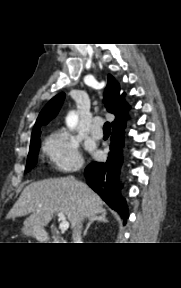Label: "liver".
I'll return each mask as SVG.
<instances>
[{"label": "liver", "mask_w": 181, "mask_h": 288, "mask_svg": "<svg viewBox=\"0 0 181 288\" xmlns=\"http://www.w3.org/2000/svg\"><path fill=\"white\" fill-rule=\"evenodd\" d=\"M104 211L102 199L85 183L72 177L45 179L26 186L7 219L26 216L25 227L43 231L55 213H64L73 231L86 218Z\"/></svg>", "instance_id": "1"}]
</instances>
